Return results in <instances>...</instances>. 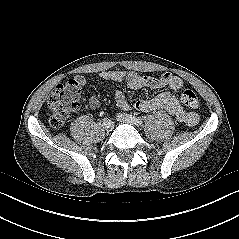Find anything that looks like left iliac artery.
<instances>
[{
  "label": "left iliac artery",
  "instance_id": "obj_1",
  "mask_svg": "<svg viewBox=\"0 0 239 239\" xmlns=\"http://www.w3.org/2000/svg\"><path fill=\"white\" fill-rule=\"evenodd\" d=\"M129 116H130L131 118H133L138 125H141V124L143 123L141 118L135 117V116H132V115H129Z\"/></svg>",
  "mask_w": 239,
  "mask_h": 239
}]
</instances>
